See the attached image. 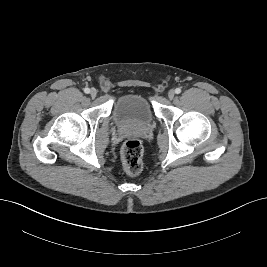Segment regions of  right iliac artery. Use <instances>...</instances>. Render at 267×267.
Instances as JSON below:
<instances>
[{"instance_id": "right-iliac-artery-1", "label": "right iliac artery", "mask_w": 267, "mask_h": 267, "mask_svg": "<svg viewBox=\"0 0 267 267\" xmlns=\"http://www.w3.org/2000/svg\"><path fill=\"white\" fill-rule=\"evenodd\" d=\"M84 92H85L86 94H88V93H90V89H89V88H85V89H84Z\"/></svg>"}]
</instances>
